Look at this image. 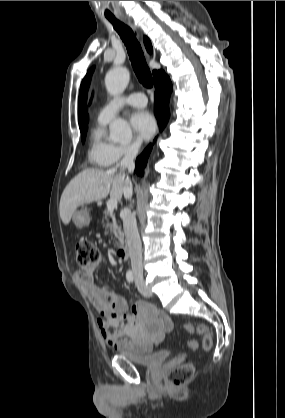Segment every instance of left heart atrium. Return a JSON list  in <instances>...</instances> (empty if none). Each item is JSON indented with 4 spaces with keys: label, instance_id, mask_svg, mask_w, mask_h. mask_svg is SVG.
<instances>
[{
    "label": "left heart atrium",
    "instance_id": "39dd6f15",
    "mask_svg": "<svg viewBox=\"0 0 285 418\" xmlns=\"http://www.w3.org/2000/svg\"><path fill=\"white\" fill-rule=\"evenodd\" d=\"M130 122L137 135L144 140L150 139L157 128L154 116L147 110L135 111Z\"/></svg>",
    "mask_w": 285,
    "mask_h": 418
}]
</instances>
